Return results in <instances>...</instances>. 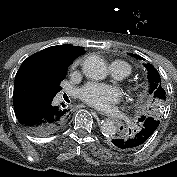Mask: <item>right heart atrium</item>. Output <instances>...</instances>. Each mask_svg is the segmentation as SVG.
<instances>
[{
    "instance_id": "1",
    "label": "right heart atrium",
    "mask_w": 177,
    "mask_h": 177,
    "mask_svg": "<svg viewBox=\"0 0 177 177\" xmlns=\"http://www.w3.org/2000/svg\"><path fill=\"white\" fill-rule=\"evenodd\" d=\"M79 63H80V61H76L74 64H73V68H75L76 66H78L79 65Z\"/></svg>"
}]
</instances>
